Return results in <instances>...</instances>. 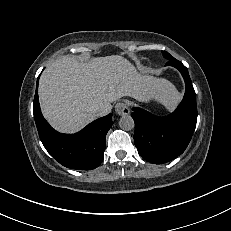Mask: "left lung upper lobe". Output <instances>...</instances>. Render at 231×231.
Returning a JSON list of instances; mask_svg holds the SVG:
<instances>
[{
    "mask_svg": "<svg viewBox=\"0 0 231 231\" xmlns=\"http://www.w3.org/2000/svg\"><path fill=\"white\" fill-rule=\"evenodd\" d=\"M163 56L168 59V60H172L175 59L174 57H172L168 52L166 51H162Z\"/></svg>",
    "mask_w": 231,
    "mask_h": 231,
    "instance_id": "5c2ea615",
    "label": "left lung upper lobe"
}]
</instances>
